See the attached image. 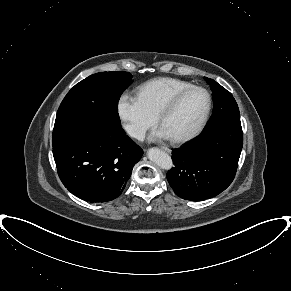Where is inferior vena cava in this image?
Segmentation results:
<instances>
[{"instance_id": "obj_1", "label": "inferior vena cava", "mask_w": 291, "mask_h": 291, "mask_svg": "<svg viewBox=\"0 0 291 291\" xmlns=\"http://www.w3.org/2000/svg\"><path fill=\"white\" fill-rule=\"evenodd\" d=\"M126 130L128 134L133 138H136L138 140H144L145 138V131L138 126L127 125Z\"/></svg>"}]
</instances>
